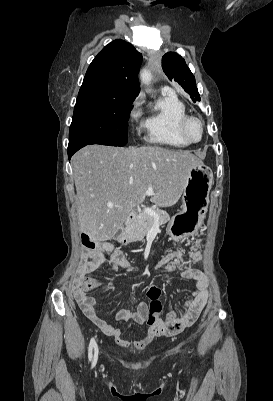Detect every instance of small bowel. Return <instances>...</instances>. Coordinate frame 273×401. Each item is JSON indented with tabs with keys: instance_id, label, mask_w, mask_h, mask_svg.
<instances>
[{
	"instance_id": "c3829d8e",
	"label": "small bowel",
	"mask_w": 273,
	"mask_h": 401,
	"mask_svg": "<svg viewBox=\"0 0 273 401\" xmlns=\"http://www.w3.org/2000/svg\"><path fill=\"white\" fill-rule=\"evenodd\" d=\"M84 245L94 246V259L81 260L92 261L93 271L101 262L108 261L114 272L121 270H132L131 261L127 258L124 251L116 248L110 242H84ZM201 241L196 240L189 249H174L162 256L156 265L163 266L169 272H178L186 281H194L195 288L192 290L190 298L179 308L169 311L165 317H159L156 322L149 326L146 338L138 343H132L122 338V331L119 327L101 318L96 310L94 303L93 286H88V290H75L74 298L76 304H79L83 314L98 329L107 336L112 337L116 344L127 350L141 351L147 345L158 337L172 336L182 331L187 326L193 324L204 307L209 296V283L204 273L192 267L191 264L201 259ZM95 278V277H92ZM96 286L101 287L104 284L103 279L98 278L95 281ZM148 311V305L145 302H139L134 307H123L116 311L115 318L120 322H132L135 324H145V317Z\"/></svg>"
}]
</instances>
